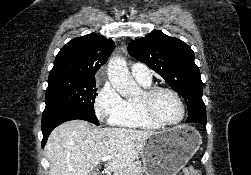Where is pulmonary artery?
<instances>
[{"mask_svg": "<svg viewBox=\"0 0 251 175\" xmlns=\"http://www.w3.org/2000/svg\"><path fill=\"white\" fill-rule=\"evenodd\" d=\"M131 74L141 84H151L153 79L151 71L145 66V62H134L131 67Z\"/></svg>", "mask_w": 251, "mask_h": 175, "instance_id": "obj_1", "label": "pulmonary artery"}]
</instances>
